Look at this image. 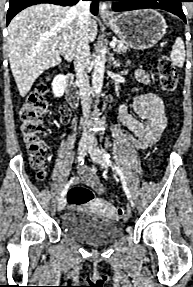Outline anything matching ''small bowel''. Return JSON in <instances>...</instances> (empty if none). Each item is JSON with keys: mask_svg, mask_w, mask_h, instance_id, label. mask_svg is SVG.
I'll list each match as a JSON object with an SVG mask.
<instances>
[{"mask_svg": "<svg viewBox=\"0 0 193 287\" xmlns=\"http://www.w3.org/2000/svg\"><path fill=\"white\" fill-rule=\"evenodd\" d=\"M136 77L141 86L133 89L134 93H138L132 105L133 113L122 104L119 114L128 144L137 150H148L158 141L167 118L162 99L145 87L149 81L148 75L138 72ZM67 117L69 118V113ZM78 182L89 185L98 193L104 190L96 168L82 167L78 173Z\"/></svg>", "mask_w": 193, "mask_h": 287, "instance_id": "1", "label": "small bowel"}]
</instances>
